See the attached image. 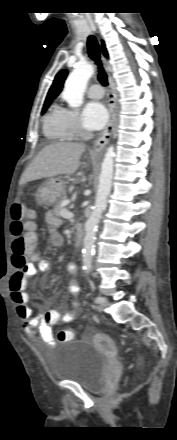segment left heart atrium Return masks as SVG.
I'll return each instance as SVG.
<instances>
[{
  "label": "left heart atrium",
  "instance_id": "1",
  "mask_svg": "<svg viewBox=\"0 0 177 440\" xmlns=\"http://www.w3.org/2000/svg\"><path fill=\"white\" fill-rule=\"evenodd\" d=\"M82 118L87 129L99 130L106 124L108 112L102 103L90 102L84 107Z\"/></svg>",
  "mask_w": 177,
  "mask_h": 440
}]
</instances>
